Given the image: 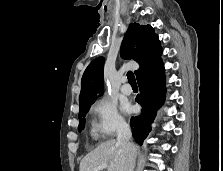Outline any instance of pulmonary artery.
I'll list each match as a JSON object with an SVG mask.
<instances>
[{
    "label": "pulmonary artery",
    "mask_w": 223,
    "mask_h": 171,
    "mask_svg": "<svg viewBox=\"0 0 223 171\" xmlns=\"http://www.w3.org/2000/svg\"><path fill=\"white\" fill-rule=\"evenodd\" d=\"M123 85L121 86V92L124 95H130L132 93V88L129 84L126 83V79H122Z\"/></svg>",
    "instance_id": "obj_1"
}]
</instances>
